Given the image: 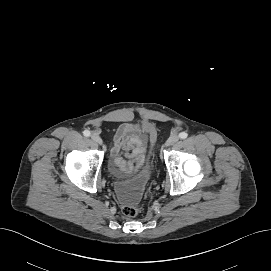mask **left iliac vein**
<instances>
[{"label":"left iliac vein","mask_w":271,"mask_h":271,"mask_svg":"<svg viewBox=\"0 0 271 271\" xmlns=\"http://www.w3.org/2000/svg\"><path fill=\"white\" fill-rule=\"evenodd\" d=\"M179 141V137L177 135L170 136L166 141V146H172Z\"/></svg>","instance_id":"obj_1"}]
</instances>
